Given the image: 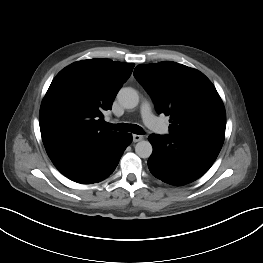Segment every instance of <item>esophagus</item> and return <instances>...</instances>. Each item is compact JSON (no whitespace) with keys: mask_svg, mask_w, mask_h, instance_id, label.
<instances>
[{"mask_svg":"<svg viewBox=\"0 0 263 263\" xmlns=\"http://www.w3.org/2000/svg\"><path fill=\"white\" fill-rule=\"evenodd\" d=\"M132 138H133V142H138V141H141L143 139V136L133 134Z\"/></svg>","mask_w":263,"mask_h":263,"instance_id":"1","label":"esophagus"}]
</instances>
